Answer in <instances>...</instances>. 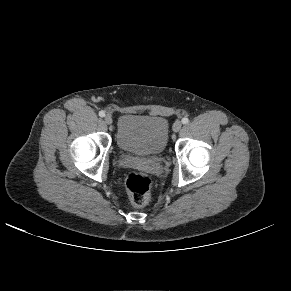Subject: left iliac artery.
<instances>
[{"instance_id":"44dca946","label":"left iliac artery","mask_w":291,"mask_h":291,"mask_svg":"<svg viewBox=\"0 0 291 291\" xmlns=\"http://www.w3.org/2000/svg\"><path fill=\"white\" fill-rule=\"evenodd\" d=\"M189 122V119L187 118V117H184L183 119H182V123L183 124H187Z\"/></svg>"}]
</instances>
